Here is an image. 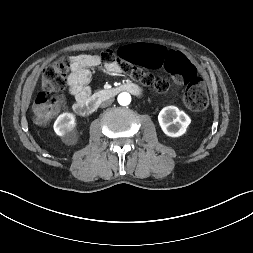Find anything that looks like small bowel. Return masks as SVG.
Returning <instances> with one entry per match:
<instances>
[{
    "instance_id": "c3829d8e",
    "label": "small bowel",
    "mask_w": 253,
    "mask_h": 253,
    "mask_svg": "<svg viewBox=\"0 0 253 253\" xmlns=\"http://www.w3.org/2000/svg\"><path fill=\"white\" fill-rule=\"evenodd\" d=\"M100 63L101 61L93 55L79 54L71 57V68L67 81L69 91L76 101L89 97L91 93L89 87L91 69L100 65ZM105 70L114 75L121 71L116 64L105 65Z\"/></svg>"
}]
</instances>
